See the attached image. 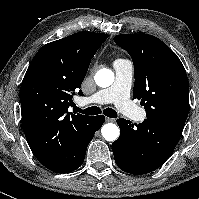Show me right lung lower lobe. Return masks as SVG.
I'll list each match as a JSON object with an SVG mask.
<instances>
[{"mask_svg":"<svg viewBox=\"0 0 199 199\" xmlns=\"http://www.w3.org/2000/svg\"><path fill=\"white\" fill-rule=\"evenodd\" d=\"M104 121L103 115L88 118L69 134L62 146L55 148L48 146L49 142L35 132H26L25 136L41 164L53 172L68 173L82 165L87 146Z\"/></svg>","mask_w":199,"mask_h":199,"instance_id":"right-lung-lower-lobe-1","label":"right lung lower lobe"}]
</instances>
